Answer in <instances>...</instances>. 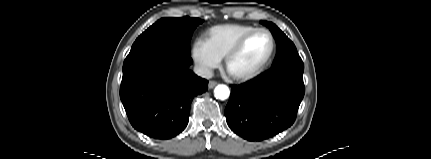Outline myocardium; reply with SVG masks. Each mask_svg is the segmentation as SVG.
I'll return each instance as SVG.
<instances>
[{"label":"myocardium","mask_w":431,"mask_h":159,"mask_svg":"<svg viewBox=\"0 0 431 159\" xmlns=\"http://www.w3.org/2000/svg\"><path fill=\"white\" fill-rule=\"evenodd\" d=\"M258 33L267 34L272 41V48H271V52H270L268 58L260 67H258L257 69H255L249 73L241 74V75L231 74L229 72L230 63L232 62V60L234 58H236L242 52V50L244 49L248 40ZM276 50H277V42H276V39H275L273 33L271 31H269L268 29H265V28H256V29L248 32L247 34H245L243 37H241L239 39V41L227 53V55L225 56L226 70L231 75V77L236 81L246 82V81L252 80V79L258 77L259 75H261L262 73H264L269 68V66L272 64V62L274 60Z\"/></svg>","instance_id":"f54148a6"}]
</instances>
